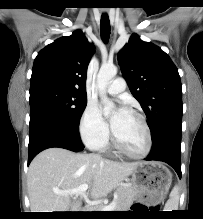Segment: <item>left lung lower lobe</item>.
Returning <instances> with one entry per match:
<instances>
[{"label":"left lung lower lobe","instance_id":"1","mask_svg":"<svg viewBox=\"0 0 203 219\" xmlns=\"http://www.w3.org/2000/svg\"><path fill=\"white\" fill-rule=\"evenodd\" d=\"M181 123L168 126L152 141L151 153L145 160L163 161L169 164L181 178Z\"/></svg>","mask_w":203,"mask_h":219}]
</instances>
